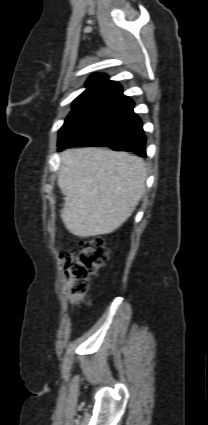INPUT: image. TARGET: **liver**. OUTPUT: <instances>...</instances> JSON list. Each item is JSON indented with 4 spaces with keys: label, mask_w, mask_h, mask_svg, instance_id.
<instances>
[{
    "label": "liver",
    "mask_w": 208,
    "mask_h": 425,
    "mask_svg": "<svg viewBox=\"0 0 208 425\" xmlns=\"http://www.w3.org/2000/svg\"><path fill=\"white\" fill-rule=\"evenodd\" d=\"M147 172L142 158L103 148L61 153L58 185L65 196L61 218L81 238L113 232L141 200Z\"/></svg>",
    "instance_id": "obj_1"
}]
</instances>
